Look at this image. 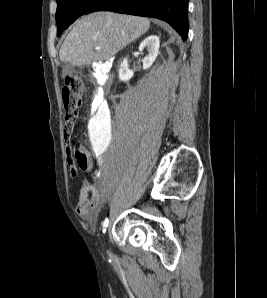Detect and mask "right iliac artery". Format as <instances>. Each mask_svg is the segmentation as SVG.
Listing matches in <instances>:
<instances>
[{
	"label": "right iliac artery",
	"mask_w": 267,
	"mask_h": 298,
	"mask_svg": "<svg viewBox=\"0 0 267 298\" xmlns=\"http://www.w3.org/2000/svg\"><path fill=\"white\" fill-rule=\"evenodd\" d=\"M108 218H106L103 222H102V227H103V233L106 232L107 226H108Z\"/></svg>",
	"instance_id": "1"
}]
</instances>
